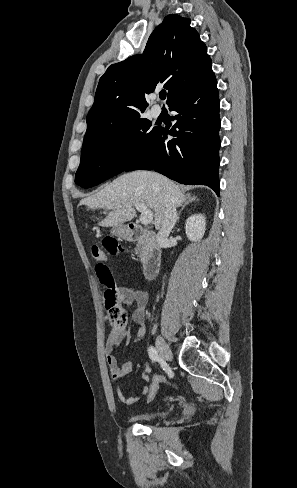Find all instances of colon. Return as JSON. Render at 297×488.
<instances>
[{
    "instance_id": "obj_1",
    "label": "colon",
    "mask_w": 297,
    "mask_h": 488,
    "mask_svg": "<svg viewBox=\"0 0 297 488\" xmlns=\"http://www.w3.org/2000/svg\"><path fill=\"white\" fill-rule=\"evenodd\" d=\"M106 249L112 255L117 254L121 249L117 246L115 240L110 238L106 241ZM92 255L98 261L95 269L100 282L104 285V302L105 307L109 312L110 322L112 326V334L118 336L124 330L125 316L119 307L117 285L114 280L113 274L103 259L106 253L98 246H93ZM166 377L165 371H160L159 374L152 376V382L150 383V389L146 392V400L149 403L154 402L155 397L158 395L159 387L162 385L164 378Z\"/></svg>"
}]
</instances>
